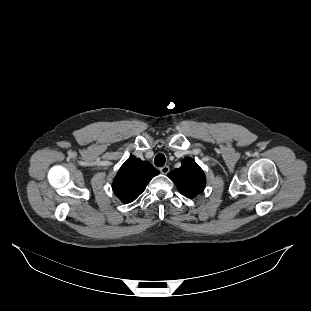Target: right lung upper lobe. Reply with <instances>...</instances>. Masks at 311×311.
Returning a JSON list of instances; mask_svg holds the SVG:
<instances>
[{
    "label": "right lung upper lobe",
    "mask_w": 311,
    "mask_h": 311,
    "mask_svg": "<svg viewBox=\"0 0 311 311\" xmlns=\"http://www.w3.org/2000/svg\"><path fill=\"white\" fill-rule=\"evenodd\" d=\"M159 171L150 163L129 158L120 168L113 182V191L123 203L134 201Z\"/></svg>",
    "instance_id": "right-lung-upper-lobe-1"
}]
</instances>
